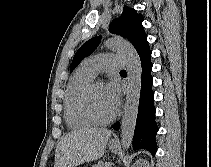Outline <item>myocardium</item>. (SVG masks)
<instances>
[{
	"label": "myocardium",
	"mask_w": 211,
	"mask_h": 167,
	"mask_svg": "<svg viewBox=\"0 0 211 167\" xmlns=\"http://www.w3.org/2000/svg\"><path fill=\"white\" fill-rule=\"evenodd\" d=\"M96 82H91L85 89L83 96H82V109L84 114L96 125H106L111 123L116 117L117 112H114L108 118H100L98 117L92 107H91V94Z\"/></svg>",
	"instance_id": "obj_1"
}]
</instances>
